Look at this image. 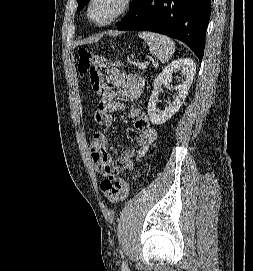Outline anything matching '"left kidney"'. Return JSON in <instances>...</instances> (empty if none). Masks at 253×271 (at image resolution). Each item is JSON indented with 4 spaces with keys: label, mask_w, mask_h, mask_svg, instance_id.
Listing matches in <instances>:
<instances>
[{
    "label": "left kidney",
    "mask_w": 253,
    "mask_h": 271,
    "mask_svg": "<svg viewBox=\"0 0 253 271\" xmlns=\"http://www.w3.org/2000/svg\"><path fill=\"white\" fill-rule=\"evenodd\" d=\"M180 71V74L184 76L181 84L177 87V95L174 100L169 103L163 110L156 108V100L158 97L159 89L163 84L172 82V74ZM196 73V64L192 59L183 58L177 59L170 63L163 71L158 75L153 83V91L148 102V116L150 121L155 125L165 123L170 119L182 106L188 90L190 89L194 76Z\"/></svg>",
    "instance_id": "5707ae66"
}]
</instances>
